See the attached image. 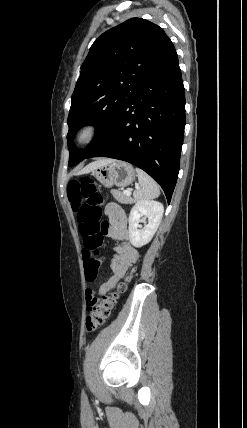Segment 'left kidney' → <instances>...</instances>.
<instances>
[{
	"mask_svg": "<svg viewBox=\"0 0 247 428\" xmlns=\"http://www.w3.org/2000/svg\"><path fill=\"white\" fill-rule=\"evenodd\" d=\"M163 213L164 207L158 201L139 200L135 203L129 215V239L134 247L140 248L151 241L161 223ZM140 222L145 223L143 228L139 225Z\"/></svg>",
	"mask_w": 247,
	"mask_h": 428,
	"instance_id": "5707ae66",
	"label": "left kidney"
}]
</instances>
